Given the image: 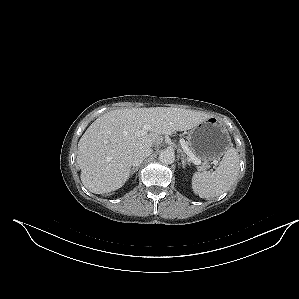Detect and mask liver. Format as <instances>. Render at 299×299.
Wrapping results in <instances>:
<instances>
[{
	"label": "liver",
	"mask_w": 299,
	"mask_h": 299,
	"mask_svg": "<svg viewBox=\"0 0 299 299\" xmlns=\"http://www.w3.org/2000/svg\"><path fill=\"white\" fill-rule=\"evenodd\" d=\"M210 117L170 107L116 109L103 114L78 143L77 164L83 185L95 194L121 188L130 176L136 151L152 148L160 135L192 129ZM145 125H150V132L137 136Z\"/></svg>",
	"instance_id": "liver-1"
}]
</instances>
